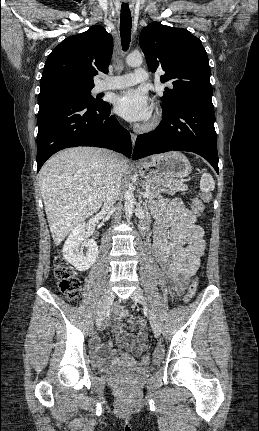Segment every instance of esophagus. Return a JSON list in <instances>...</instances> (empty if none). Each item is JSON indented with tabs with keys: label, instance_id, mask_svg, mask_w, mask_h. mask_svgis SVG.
Instances as JSON below:
<instances>
[{
	"label": "esophagus",
	"instance_id": "1",
	"mask_svg": "<svg viewBox=\"0 0 259 431\" xmlns=\"http://www.w3.org/2000/svg\"><path fill=\"white\" fill-rule=\"evenodd\" d=\"M130 136H131L132 145L134 146L136 142V135L134 133H131Z\"/></svg>",
	"mask_w": 259,
	"mask_h": 431
}]
</instances>
